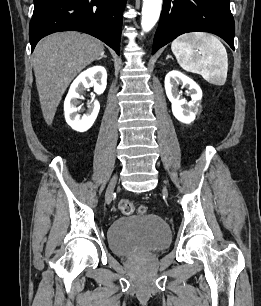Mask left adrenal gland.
I'll return each instance as SVG.
<instances>
[{
	"mask_svg": "<svg viewBox=\"0 0 261 306\" xmlns=\"http://www.w3.org/2000/svg\"><path fill=\"white\" fill-rule=\"evenodd\" d=\"M168 58H171V56L168 55L166 59H168Z\"/></svg>",
	"mask_w": 261,
	"mask_h": 306,
	"instance_id": "left-adrenal-gland-1",
	"label": "left adrenal gland"
}]
</instances>
